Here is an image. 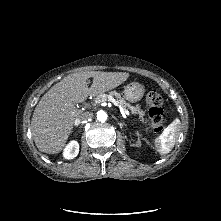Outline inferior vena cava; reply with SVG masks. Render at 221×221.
I'll return each mask as SVG.
<instances>
[{"label":"inferior vena cava","instance_id":"inferior-vena-cava-1","mask_svg":"<svg viewBox=\"0 0 221 221\" xmlns=\"http://www.w3.org/2000/svg\"><path fill=\"white\" fill-rule=\"evenodd\" d=\"M93 117V113L91 112H83L81 113L78 118H77V122H84L86 120H89Z\"/></svg>","mask_w":221,"mask_h":221}]
</instances>
